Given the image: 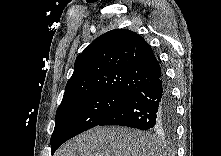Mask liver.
Here are the masks:
<instances>
[{"mask_svg":"<svg viewBox=\"0 0 221 156\" xmlns=\"http://www.w3.org/2000/svg\"><path fill=\"white\" fill-rule=\"evenodd\" d=\"M156 135L127 127H95L60 147L55 156H162Z\"/></svg>","mask_w":221,"mask_h":156,"instance_id":"6515ba94","label":"liver"}]
</instances>
